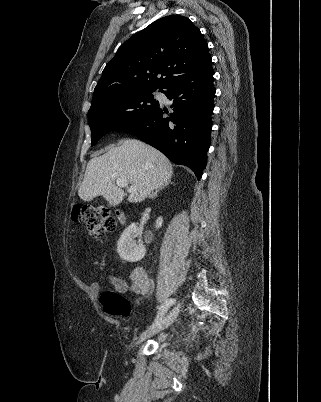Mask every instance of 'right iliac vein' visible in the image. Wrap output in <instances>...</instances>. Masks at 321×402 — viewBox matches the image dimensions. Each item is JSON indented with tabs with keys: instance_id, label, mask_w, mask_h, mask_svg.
Wrapping results in <instances>:
<instances>
[{
	"instance_id": "1",
	"label": "right iliac vein",
	"mask_w": 321,
	"mask_h": 402,
	"mask_svg": "<svg viewBox=\"0 0 321 402\" xmlns=\"http://www.w3.org/2000/svg\"><path fill=\"white\" fill-rule=\"evenodd\" d=\"M179 314V305H177L176 307H174V309L171 311V313L164 318L159 325L155 326L154 328H150L146 331H144L140 336H139V342H143L147 339H149L150 337L156 335L157 333H159L160 331L164 330L165 328H167L171 323H173V321L177 318Z\"/></svg>"
}]
</instances>
